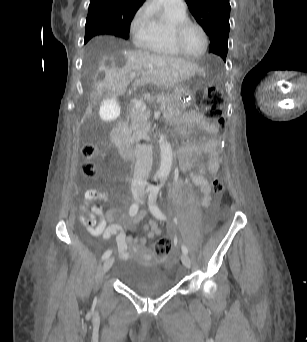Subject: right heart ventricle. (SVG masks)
<instances>
[{
	"instance_id": "right-heart-ventricle-1",
	"label": "right heart ventricle",
	"mask_w": 307,
	"mask_h": 342,
	"mask_svg": "<svg viewBox=\"0 0 307 342\" xmlns=\"http://www.w3.org/2000/svg\"><path fill=\"white\" fill-rule=\"evenodd\" d=\"M189 17L188 11L175 12L166 11L158 17L156 24L158 31L151 38L133 45V50L158 54L171 58H184V56L174 47L171 40V26L183 18Z\"/></svg>"
}]
</instances>
